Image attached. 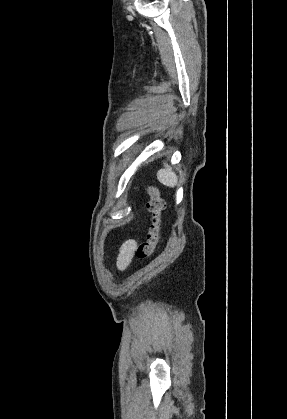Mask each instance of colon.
<instances>
[{"mask_svg":"<svg viewBox=\"0 0 287 419\" xmlns=\"http://www.w3.org/2000/svg\"><path fill=\"white\" fill-rule=\"evenodd\" d=\"M147 192L149 195L147 208L151 214V224L146 240L136 249L137 257L140 260L148 259L157 249L160 241L159 229L161 225V213L165 206L164 200L160 196L157 188L149 186Z\"/></svg>","mask_w":287,"mask_h":419,"instance_id":"obj_1","label":"colon"}]
</instances>
